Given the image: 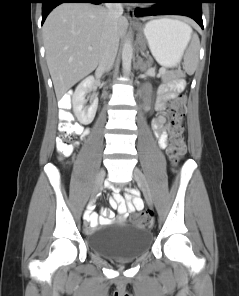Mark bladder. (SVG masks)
I'll return each mask as SVG.
<instances>
[{
  "label": "bladder",
  "mask_w": 239,
  "mask_h": 296,
  "mask_svg": "<svg viewBox=\"0 0 239 296\" xmlns=\"http://www.w3.org/2000/svg\"><path fill=\"white\" fill-rule=\"evenodd\" d=\"M152 233L135 224H111L98 227L87 237L88 245L104 258L135 259L152 245Z\"/></svg>",
  "instance_id": "bladder-1"
}]
</instances>
